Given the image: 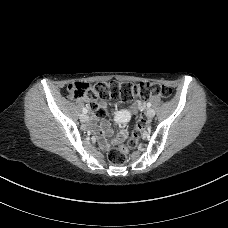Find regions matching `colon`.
Returning <instances> with one entry per match:
<instances>
[{"mask_svg":"<svg viewBox=\"0 0 228 228\" xmlns=\"http://www.w3.org/2000/svg\"><path fill=\"white\" fill-rule=\"evenodd\" d=\"M71 98L88 100L89 108L96 118L102 116L98 100L115 98L123 101H130L133 98L148 99L150 97L168 98L171 95V89L156 82H98L90 85L86 82H73L67 87ZM147 122L144 117H140L136 123L135 129L128 139L126 145L113 148L108 153V160L115 165H121L126 159V153L129 149L138 145L141 132L146 128Z\"/></svg>","mask_w":228,"mask_h":228,"instance_id":"1","label":"colon"}]
</instances>
